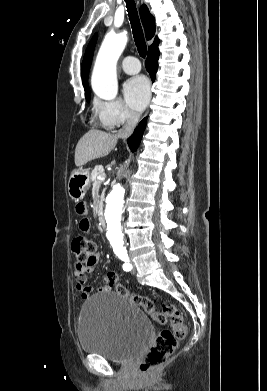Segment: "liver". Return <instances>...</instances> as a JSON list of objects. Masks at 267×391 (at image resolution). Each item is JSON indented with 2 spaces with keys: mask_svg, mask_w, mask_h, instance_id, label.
<instances>
[{
  "mask_svg": "<svg viewBox=\"0 0 267 391\" xmlns=\"http://www.w3.org/2000/svg\"><path fill=\"white\" fill-rule=\"evenodd\" d=\"M118 141L116 135L91 129L78 141L75 149V165L83 166L88 162L107 156Z\"/></svg>",
  "mask_w": 267,
  "mask_h": 391,
  "instance_id": "6515ba94",
  "label": "liver"
}]
</instances>
